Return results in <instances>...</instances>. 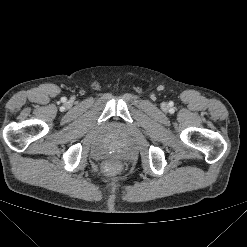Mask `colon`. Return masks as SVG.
Listing matches in <instances>:
<instances>
[{
  "label": "colon",
  "mask_w": 247,
  "mask_h": 247,
  "mask_svg": "<svg viewBox=\"0 0 247 247\" xmlns=\"http://www.w3.org/2000/svg\"><path fill=\"white\" fill-rule=\"evenodd\" d=\"M120 168L119 163L115 162V161H108L103 165V170L104 172L108 173V174H113L115 172H117Z\"/></svg>",
  "instance_id": "5ec220e1"
}]
</instances>
